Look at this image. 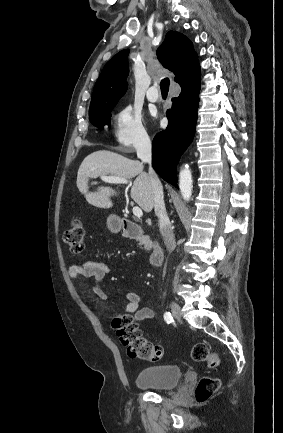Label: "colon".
Wrapping results in <instances>:
<instances>
[{"label":"colon","mask_w":283,"mask_h":433,"mask_svg":"<svg viewBox=\"0 0 283 433\" xmlns=\"http://www.w3.org/2000/svg\"><path fill=\"white\" fill-rule=\"evenodd\" d=\"M64 242L74 256H80L85 248V226L80 219L71 222L64 233ZM112 328L115 330L120 342L126 347L127 354L131 358L147 361H156L162 355L159 345L148 341L143 335L130 314H118L112 319ZM192 358L196 362L206 363L210 368L219 365L217 354L202 342L196 343L191 350ZM220 387L216 378H202L195 389V399L198 403L207 401Z\"/></svg>","instance_id":"colon-1"}]
</instances>
